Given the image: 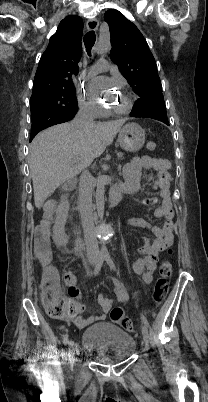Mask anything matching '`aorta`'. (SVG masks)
Masks as SVG:
<instances>
[{
  "mask_svg": "<svg viewBox=\"0 0 208 402\" xmlns=\"http://www.w3.org/2000/svg\"><path fill=\"white\" fill-rule=\"evenodd\" d=\"M100 180L97 182V190H96V208L98 218L97 221L104 225L105 218L104 216V195L106 193V182L103 180L105 178L104 174L100 175ZM101 229H105V226H101ZM101 252L100 255L102 258H109L111 255L110 248L107 246L105 242L100 244Z\"/></svg>",
  "mask_w": 208,
  "mask_h": 402,
  "instance_id": "aorta-1",
  "label": "aorta"
}]
</instances>
